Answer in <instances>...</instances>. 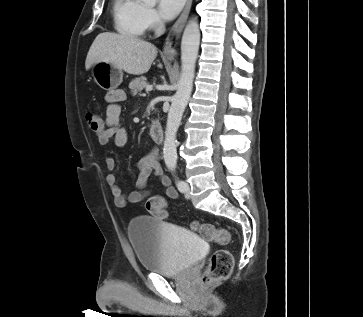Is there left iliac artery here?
Here are the masks:
<instances>
[{"label": "left iliac artery", "instance_id": "obj_1", "mask_svg": "<svg viewBox=\"0 0 363 317\" xmlns=\"http://www.w3.org/2000/svg\"><path fill=\"white\" fill-rule=\"evenodd\" d=\"M176 186H177V188H178V190L180 191V192H184V190H185V182L184 181H182V180H180V179H176Z\"/></svg>", "mask_w": 363, "mask_h": 317}]
</instances>
